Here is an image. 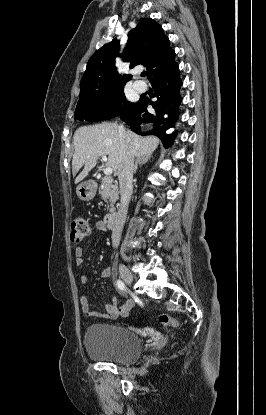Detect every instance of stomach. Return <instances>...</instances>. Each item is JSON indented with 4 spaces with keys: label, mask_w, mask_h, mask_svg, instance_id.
I'll return each mask as SVG.
<instances>
[{
    "label": "stomach",
    "mask_w": 266,
    "mask_h": 415,
    "mask_svg": "<svg viewBox=\"0 0 266 415\" xmlns=\"http://www.w3.org/2000/svg\"><path fill=\"white\" fill-rule=\"evenodd\" d=\"M77 196L82 201H90L96 195V185L91 181L82 182L76 189Z\"/></svg>",
    "instance_id": "stomach-1"
}]
</instances>
